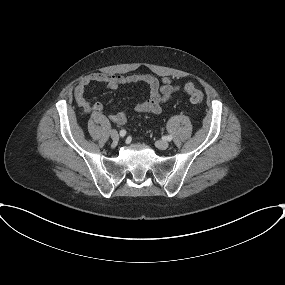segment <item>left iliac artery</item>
Segmentation results:
<instances>
[{
  "label": "left iliac artery",
  "mask_w": 285,
  "mask_h": 285,
  "mask_svg": "<svg viewBox=\"0 0 285 285\" xmlns=\"http://www.w3.org/2000/svg\"><path fill=\"white\" fill-rule=\"evenodd\" d=\"M173 139V137L171 136V135H168L167 137H166V140L167 141H171Z\"/></svg>",
  "instance_id": "left-iliac-artery-1"
}]
</instances>
